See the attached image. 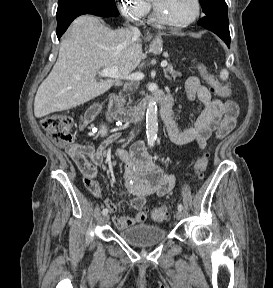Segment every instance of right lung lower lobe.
Here are the masks:
<instances>
[{
    "mask_svg": "<svg viewBox=\"0 0 273 288\" xmlns=\"http://www.w3.org/2000/svg\"><path fill=\"white\" fill-rule=\"evenodd\" d=\"M83 14H91V15H95L92 13H87V12H80V13H72L69 15H66L64 17H61L59 19H57V37L58 39L61 37V35L66 31V29L68 28V26L71 24V22L78 16L83 15ZM96 16H100V17H104V18H108V17H114V16H106V15H96Z\"/></svg>",
    "mask_w": 273,
    "mask_h": 288,
    "instance_id": "right-lung-lower-lobe-1",
    "label": "right lung lower lobe"
}]
</instances>
